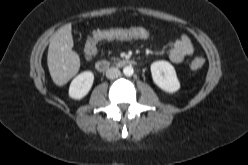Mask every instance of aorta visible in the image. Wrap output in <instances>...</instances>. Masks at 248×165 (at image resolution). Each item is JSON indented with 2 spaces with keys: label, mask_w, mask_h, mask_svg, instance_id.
Masks as SVG:
<instances>
[{
  "label": "aorta",
  "mask_w": 248,
  "mask_h": 165,
  "mask_svg": "<svg viewBox=\"0 0 248 165\" xmlns=\"http://www.w3.org/2000/svg\"><path fill=\"white\" fill-rule=\"evenodd\" d=\"M123 73L125 76H132L134 73V69L132 66H126L123 68Z\"/></svg>",
  "instance_id": "aorta-1"
}]
</instances>
